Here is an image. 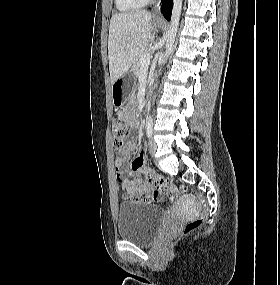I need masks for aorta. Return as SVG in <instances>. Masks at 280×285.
<instances>
[{
	"label": "aorta",
	"instance_id": "aorta-1",
	"mask_svg": "<svg viewBox=\"0 0 280 285\" xmlns=\"http://www.w3.org/2000/svg\"><path fill=\"white\" fill-rule=\"evenodd\" d=\"M182 2L183 0L173 1V9H172L170 26L167 31L166 54L164 58V64L167 62V58L171 52L173 43L175 41V37H176L178 26H179L181 11H182Z\"/></svg>",
	"mask_w": 280,
	"mask_h": 285
}]
</instances>
